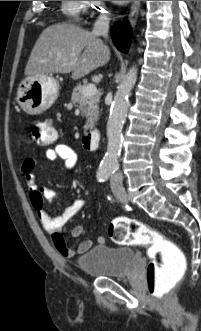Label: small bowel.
I'll return each mask as SVG.
<instances>
[{"label": "small bowel", "mask_w": 201, "mask_h": 331, "mask_svg": "<svg viewBox=\"0 0 201 331\" xmlns=\"http://www.w3.org/2000/svg\"><path fill=\"white\" fill-rule=\"evenodd\" d=\"M45 156L48 160L53 162L63 161L66 169L69 171L74 168L77 161V156L73 149L62 143H57L52 148L47 149ZM35 166V159H26L23 161L20 170L28 187L29 200L35 209L43 228L52 234L53 244L59 254L63 257L72 258L84 254L92 247V241L85 240L76 248H72L68 246L66 238L62 234V229L83 209L85 202L82 199H77L73 204L67 207L61 215L51 217L45 209L44 200L52 201L55 194L53 191L41 187L38 184L34 174ZM82 234V226H75L71 231L72 238H78ZM97 242L103 243L104 237L98 236Z\"/></svg>", "instance_id": "c3829d8e"}]
</instances>
